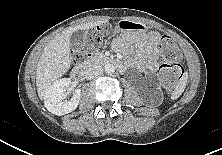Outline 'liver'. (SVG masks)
I'll list each match as a JSON object with an SVG mask.
<instances>
[{"label":"liver","instance_id":"1","mask_svg":"<svg viewBox=\"0 0 222 155\" xmlns=\"http://www.w3.org/2000/svg\"><path fill=\"white\" fill-rule=\"evenodd\" d=\"M107 22V19H103L70 27L56 35L45 46L37 63L35 77L38 97L41 100L46 99L49 87L71 68V34L77 30H89Z\"/></svg>","mask_w":222,"mask_h":155}]
</instances>
